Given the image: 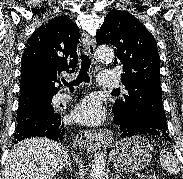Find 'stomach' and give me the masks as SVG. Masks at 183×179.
<instances>
[{"label":"stomach","instance_id":"obj_1","mask_svg":"<svg viewBox=\"0 0 183 179\" xmlns=\"http://www.w3.org/2000/svg\"><path fill=\"white\" fill-rule=\"evenodd\" d=\"M152 150V146L141 136L125 138L118 141L111 151L113 165L122 172L141 170L151 161Z\"/></svg>","mask_w":183,"mask_h":179}]
</instances>
